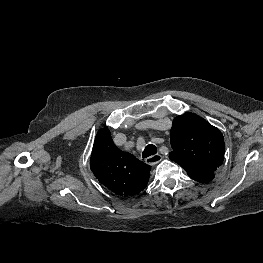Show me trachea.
Listing matches in <instances>:
<instances>
[{"mask_svg":"<svg viewBox=\"0 0 263 263\" xmlns=\"http://www.w3.org/2000/svg\"><path fill=\"white\" fill-rule=\"evenodd\" d=\"M156 153H157V148H156V146L153 145V144H149V145H147V146L145 147V149H144V151H143V153H142V157H143V158H147V157L152 156V155H154V154H156Z\"/></svg>","mask_w":263,"mask_h":263,"instance_id":"3493384b","label":"trachea"}]
</instances>
